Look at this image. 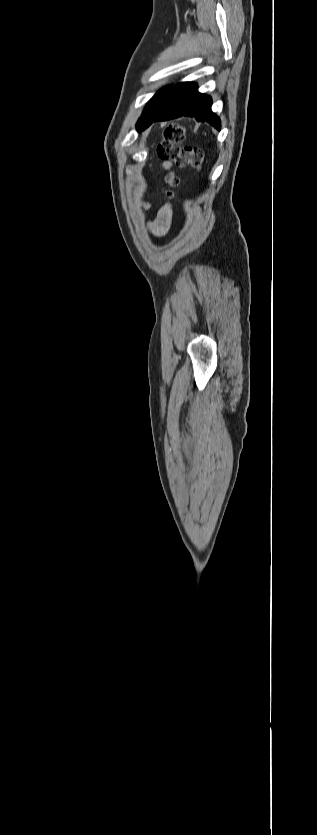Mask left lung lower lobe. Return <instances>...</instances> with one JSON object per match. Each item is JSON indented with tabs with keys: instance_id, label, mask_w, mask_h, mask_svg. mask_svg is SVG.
<instances>
[{
	"instance_id": "obj_1",
	"label": "left lung lower lobe",
	"mask_w": 317,
	"mask_h": 835,
	"mask_svg": "<svg viewBox=\"0 0 317 835\" xmlns=\"http://www.w3.org/2000/svg\"><path fill=\"white\" fill-rule=\"evenodd\" d=\"M211 105L210 96L199 93L195 83H178L164 105L154 116L143 123L140 131L146 129L154 121H167L180 117L195 118L198 122H207L220 130V119L211 111Z\"/></svg>"
}]
</instances>
